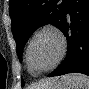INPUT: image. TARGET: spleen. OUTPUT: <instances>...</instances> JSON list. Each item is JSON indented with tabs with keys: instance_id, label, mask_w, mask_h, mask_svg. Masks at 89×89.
Segmentation results:
<instances>
[{
	"instance_id": "3e777b00",
	"label": "spleen",
	"mask_w": 89,
	"mask_h": 89,
	"mask_svg": "<svg viewBox=\"0 0 89 89\" xmlns=\"http://www.w3.org/2000/svg\"><path fill=\"white\" fill-rule=\"evenodd\" d=\"M61 80L66 83L68 89H89V77L84 74H67Z\"/></svg>"
}]
</instances>
